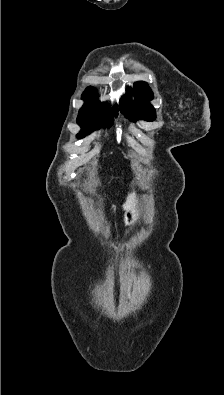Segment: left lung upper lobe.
Wrapping results in <instances>:
<instances>
[{"mask_svg": "<svg viewBox=\"0 0 224 395\" xmlns=\"http://www.w3.org/2000/svg\"><path fill=\"white\" fill-rule=\"evenodd\" d=\"M127 94L120 101L121 112L131 121L142 119L145 121H153L156 118L153 106L148 103L153 99V93L145 82H136L128 89ZM134 94L135 100L132 101L130 96Z\"/></svg>", "mask_w": 224, "mask_h": 395, "instance_id": "left-lung-upper-lobe-1", "label": "left lung upper lobe"}]
</instances>
